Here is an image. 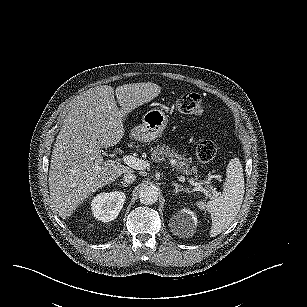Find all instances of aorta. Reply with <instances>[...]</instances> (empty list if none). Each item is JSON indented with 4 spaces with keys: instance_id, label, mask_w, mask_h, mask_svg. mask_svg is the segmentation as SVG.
Segmentation results:
<instances>
[{
    "instance_id": "aorta-1",
    "label": "aorta",
    "mask_w": 307,
    "mask_h": 307,
    "mask_svg": "<svg viewBox=\"0 0 307 307\" xmlns=\"http://www.w3.org/2000/svg\"><path fill=\"white\" fill-rule=\"evenodd\" d=\"M158 190L153 186H145L139 191L140 203L144 205H152L158 200Z\"/></svg>"
}]
</instances>
